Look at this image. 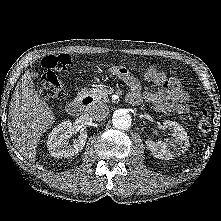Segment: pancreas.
I'll list each match as a JSON object with an SVG mask.
<instances>
[{"label":"pancreas","mask_w":221,"mask_h":221,"mask_svg":"<svg viewBox=\"0 0 221 221\" xmlns=\"http://www.w3.org/2000/svg\"><path fill=\"white\" fill-rule=\"evenodd\" d=\"M89 95H91L96 102H108V94L110 91L105 88L103 85H97L96 88H92L89 91H86Z\"/></svg>","instance_id":"1"}]
</instances>
